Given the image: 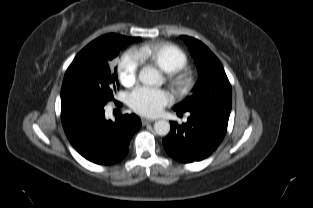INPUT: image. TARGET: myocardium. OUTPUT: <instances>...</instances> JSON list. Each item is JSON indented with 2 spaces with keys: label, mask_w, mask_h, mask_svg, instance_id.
Wrapping results in <instances>:
<instances>
[{
  "label": "myocardium",
  "mask_w": 313,
  "mask_h": 208,
  "mask_svg": "<svg viewBox=\"0 0 313 208\" xmlns=\"http://www.w3.org/2000/svg\"><path fill=\"white\" fill-rule=\"evenodd\" d=\"M170 81L181 93L188 92L194 85L193 76L188 71L179 70L177 72L171 73Z\"/></svg>",
  "instance_id": "obj_1"
}]
</instances>
